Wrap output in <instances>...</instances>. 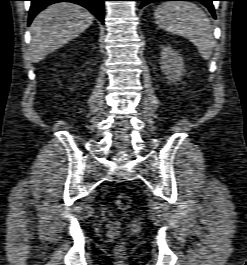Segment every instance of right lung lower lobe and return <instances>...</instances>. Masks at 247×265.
Instances as JSON below:
<instances>
[{
    "label": "right lung lower lobe",
    "instance_id": "right-lung-lower-lobe-1",
    "mask_svg": "<svg viewBox=\"0 0 247 265\" xmlns=\"http://www.w3.org/2000/svg\"><path fill=\"white\" fill-rule=\"evenodd\" d=\"M31 7L29 11L28 24H30L33 18L46 6L57 2H71L79 4L88 10H90L97 19L104 24V1L105 0H30Z\"/></svg>",
    "mask_w": 247,
    "mask_h": 265
}]
</instances>
